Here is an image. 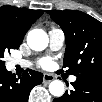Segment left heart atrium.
Returning <instances> with one entry per match:
<instances>
[{
  "label": "left heart atrium",
  "instance_id": "obj_1",
  "mask_svg": "<svg viewBox=\"0 0 102 102\" xmlns=\"http://www.w3.org/2000/svg\"><path fill=\"white\" fill-rule=\"evenodd\" d=\"M50 63H51V60L50 59H42L41 61H40V66L42 67V68H47L49 65H50Z\"/></svg>",
  "mask_w": 102,
  "mask_h": 102
}]
</instances>
